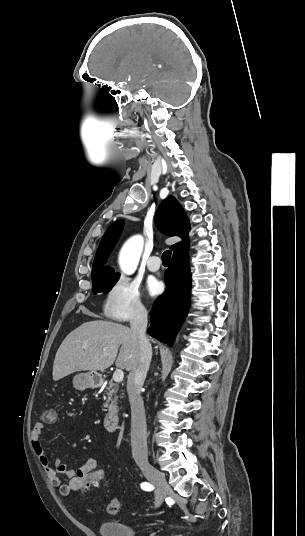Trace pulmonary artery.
I'll use <instances>...</instances> for the list:
<instances>
[{
	"label": "pulmonary artery",
	"instance_id": "pulmonary-artery-1",
	"mask_svg": "<svg viewBox=\"0 0 305 536\" xmlns=\"http://www.w3.org/2000/svg\"><path fill=\"white\" fill-rule=\"evenodd\" d=\"M160 260H161V257L159 254L157 253L151 254L147 262L148 269L152 272L158 271L161 267V265L159 264Z\"/></svg>",
	"mask_w": 305,
	"mask_h": 536
}]
</instances>
